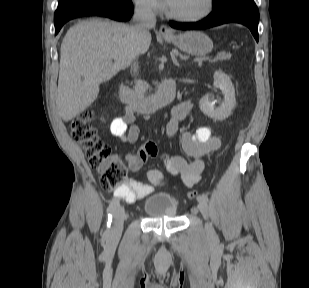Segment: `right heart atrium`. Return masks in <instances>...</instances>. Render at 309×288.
I'll list each match as a JSON object with an SVG mask.
<instances>
[{"label":"right heart atrium","instance_id":"d8ad5b80","mask_svg":"<svg viewBox=\"0 0 309 288\" xmlns=\"http://www.w3.org/2000/svg\"><path fill=\"white\" fill-rule=\"evenodd\" d=\"M133 4L140 10L148 13H156L161 10L159 0H132Z\"/></svg>","mask_w":309,"mask_h":288}]
</instances>
